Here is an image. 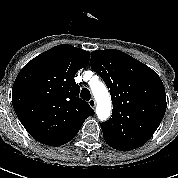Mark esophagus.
I'll use <instances>...</instances> for the list:
<instances>
[{
	"instance_id": "34e87169",
	"label": "esophagus",
	"mask_w": 178,
	"mask_h": 178,
	"mask_svg": "<svg viewBox=\"0 0 178 178\" xmlns=\"http://www.w3.org/2000/svg\"><path fill=\"white\" fill-rule=\"evenodd\" d=\"M88 103H89V105H90L91 108L94 109L96 107V101H95V99H93V98L90 99Z\"/></svg>"
}]
</instances>
